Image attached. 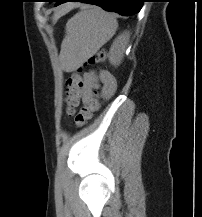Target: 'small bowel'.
Wrapping results in <instances>:
<instances>
[{"label": "small bowel", "mask_w": 202, "mask_h": 217, "mask_svg": "<svg viewBox=\"0 0 202 217\" xmlns=\"http://www.w3.org/2000/svg\"><path fill=\"white\" fill-rule=\"evenodd\" d=\"M100 79L104 84L105 94L112 95L117 88V82L115 77L108 71H102L100 73ZM93 88L94 76L92 73L87 72L83 75L82 101L84 104H88L92 100Z\"/></svg>", "instance_id": "small-bowel-1"}]
</instances>
